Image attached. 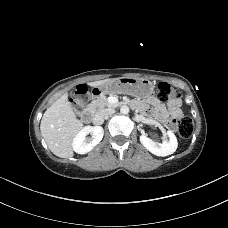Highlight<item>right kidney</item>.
<instances>
[{
  "label": "right kidney",
  "mask_w": 228,
  "mask_h": 228,
  "mask_svg": "<svg viewBox=\"0 0 228 228\" xmlns=\"http://www.w3.org/2000/svg\"><path fill=\"white\" fill-rule=\"evenodd\" d=\"M91 134V138L87 139L86 136ZM104 130L101 126H86L81 129L73 139V150L78 154H86L90 152L102 140Z\"/></svg>",
  "instance_id": "obj_1"
}]
</instances>
